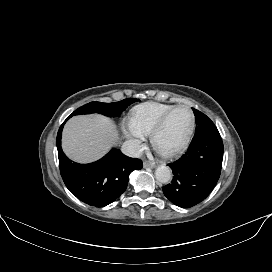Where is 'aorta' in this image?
Returning a JSON list of instances; mask_svg holds the SVG:
<instances>
[{"instance_id":"aorta-1","label":"aorta","mask_w":272,"mask_h":272,"mask_svg":"<svg viewBox=\"0 0 272 272\" xmlns=\"http://www.w3.org/2000/svg\"><path fill=\"white\" fill-rule=\"evenodd\" d=\"M155 177L159 182L166 184L172 178V171L167 166H159L155 170Z\"/></svg>"}]
</instances>
